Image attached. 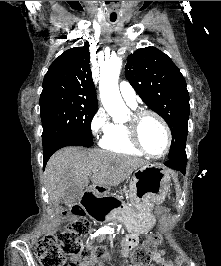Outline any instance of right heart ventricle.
Wrapping results in <instances>:
<instances>
[{"instance_id": "e07e8e85", "label": "right heart ventricle", "mask_w": 221, "mask_h": 266, "mask_svg": "<svg viewBox=\"0 0 221 266\" xmlns=\"http://www.w3.org/2000/svg\"><path fill=\"white\" fill-rule=\"evenodd\" d=\"M103 149L115 153L139 156L142 153L132 144L128 129L124 123H111L108 131L100 140Z\"/></svg>"}]
</instances>
